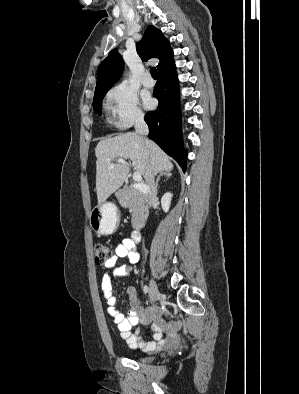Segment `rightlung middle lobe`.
Masks as SVG:
<instances>
[{
    "instance_id": "dd1d6c3e",
    "label": "right lung middle lobe",
    "mask_w": 299,
    "mask_h": 394,
    "mask_svg": "<svg viewBox=\"0 0 299 394\" xmlns=\"http://www.w3.org/2000/svg\"><path fill=\"white\" fill-rule=\"evenodd\" d=\"M108 90L101 91L99 93L94 94V99H93V108L94 110L101 114V106H102V100L107 93Z\"/></svg>"
}]
</instances>
